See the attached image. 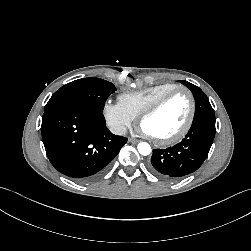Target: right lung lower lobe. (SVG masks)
Here are the masks:
<instances>
[{
	"instance_id": "obj_1",
	"label": "right lung lower lobe",
	"mask_w": 251,
	"mask_h": 251,
	"mask_svg": "<svg viewBox=\"0 0 251 251\" xmlns=\"http://www.w3.org/2000/svg\"><path fill=\"white\" fill-rule=\"evenodd\" d=\"M102 111L89 107L59 106L44 110L41 133L51 164L79 182L101 176L126 144L112 134Z\"/></svg>"
}]
</instances>
